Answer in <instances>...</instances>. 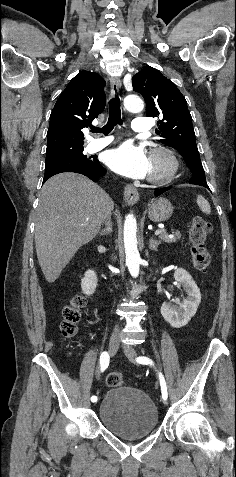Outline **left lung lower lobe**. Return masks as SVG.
Instances as JSON below:
<instances>
[{
    "instance_id": "0a47b994",
    "label": "left lung lower lobe",
    "mask_w": 236,
    "mask_h": 477,
    "mask_svg": "<svg viewBox=\"0 0 236 477\" xmlns=\"http://www.w3.org/2000/svg\"><path fill=\"white\" fill-rule=\"evenodd\" d=\"M200 186H203V187L209 189V187H208L207 184H203V185H200ZM170 188H171V187H165V188H161V189H159V190H156V191L154 192V195H155V196H159V195H161L162 193H164L165 191L169 190Z\"/></svg>"
}]
</instances>
